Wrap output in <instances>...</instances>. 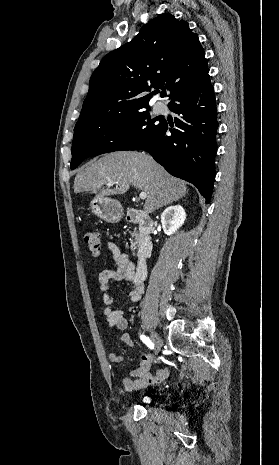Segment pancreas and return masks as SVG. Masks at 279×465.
Segmentation results:
<instances>
[{
    "instance_id": "cf45deb5",
    "label": "pancreas",
    "mask_w": 279,
    "mask_h": 465,
    "mask_svg": "<svg viewBox=\"0 0 279 465\" xmlns=\"http://www.w3.org/2000/svg\"><path fill=\"white\" fill-rule=\"evenodd\" d=\"M132 238H134V239L130 240L131 250L134 251L137 248V246L139 244V241H140V237L137 234V229L136 228L134 229V232L132 234Z\"/></svg>"
}]
</instances>
